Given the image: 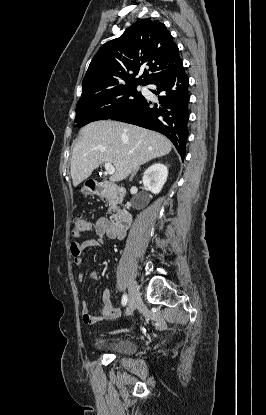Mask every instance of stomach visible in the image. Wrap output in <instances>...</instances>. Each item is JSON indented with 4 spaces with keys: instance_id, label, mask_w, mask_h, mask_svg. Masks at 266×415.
I'll return each mask as SVG.
<instances>
[{
    "instance_id": "0dacf381",
    "label": "stomach",
    "mask_w": 266,
    "mask_h": 415,
    "mask_svg": "<svg viewBox=\"0 0 266 415\" xmlns=\"http://www.w3.org/2000/svg\"><path fill=\"white\" fill-rule=\"evenodd\" d=\"M81 192H82L85 196H89V195L94 194V192H93L90 188H88L87 186H84V187L82 188Z\"/></svg>"
}]
</instances>
